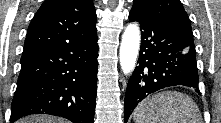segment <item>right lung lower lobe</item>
Segmentation results:
<instances>
[{"mask_svg": "<svg viewBox=\"0 0 221 123\" xmlns=\"http://www.w3.org/2000/svg\"><path fill=\"white\" fill-rule=\"evenodd\" d=\"M97 57V34L60 48L23 52L11 122L45 113L94 123Z\"/></svg>", "mask_w": 221, "mask_h": 123, "instance_id": "1", "label": "right lung lower lobe"}]
</instances>
